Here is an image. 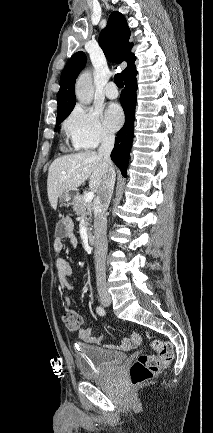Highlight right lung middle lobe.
Here are the masks:
<instances>
[{
	"instance_id": "right-lung-middle-lobe-1",
	"label": "right lung middle lobe",
	"mask_w": 213,
	"mask_h": 433,
	"mask_svg": "<svg viewBox=\"0 0 213 433\" xmlns=\"http://www.w3.org/2000/svg\"><path fill=\"white\" fill-rule=\"evenodd\" d=\"M65 118H62L60 120H57L56 122V127H55V131L57 130V127L60 125V123L64 120Z\"/></svg>"
}]
</instances>
